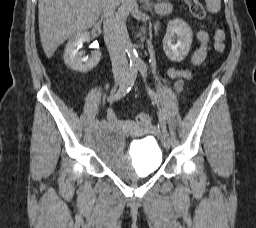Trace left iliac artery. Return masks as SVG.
<instances>
[{"instance_id": "obj_1", "label": "left iliac artery", "mask_w": 256, "mask_h": 228, "mask_svg": "<svg viewBox=\"0 0 256 228\" xmlns=\"http://www.w3.org/2000/svg\"><path fill=\"white\" fill-rule=\"evenodd\" d=\"M137 67H138V70L140 71V73H141V75L144 79L146 90H147L148 94L150 95L152 100L155 102V104L159 108V99H158L157 94L153 90H152V92H149V89H151V88L146 83V77H147L146 65L143 62H140V63H138ZM159 122H160V125H161L162 132L164 134H168V131H167V128H166V123H165V116H164L161 108H159Z\"/></svg>"}]
</instances>
